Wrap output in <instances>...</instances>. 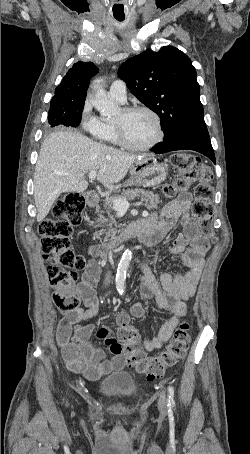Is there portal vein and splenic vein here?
<instances>
[{"instance_id":"portal-vein-and-splenic-vein-1","label":"portal vein and splenic vein","mask_w":250,"mask_h":454,"mask_svg":"<svg viewBox=\"0 0 250 454\" xmlns=\"http://www.w3.org/2000/svg\"><path fill=\"white\" fill-rule=\"evenodd\" d=\"M96 176H97V172L91 171L89 173V180L93 181L96 178ZM112 205L118 214H124L130 206L129 202L126 199H122V198L114 199L112 201Z\"/></svg>"}]
</instances>
